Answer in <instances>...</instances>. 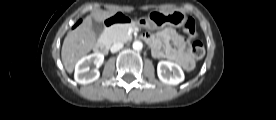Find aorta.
I'll use <instances>...</instances> for the list:
<instances>
[{"instance_id": "762f6f07", "label": "aorta", "mask_w": 276, "mask_h": 120, "mask_svg": "<svg viewBox=\"0 0 276 120\" xmlns=\"http://www.w3.org/2000/svg\"><path fill=\"white\" fill-rule=\"evenodd\" d=\"M142 48H143V44H142L141 41H134V42H133V49H134L135 51H141Z\"/></svg>"}]
</instances>
